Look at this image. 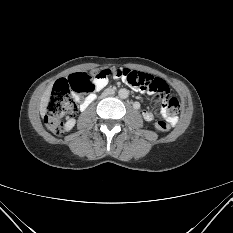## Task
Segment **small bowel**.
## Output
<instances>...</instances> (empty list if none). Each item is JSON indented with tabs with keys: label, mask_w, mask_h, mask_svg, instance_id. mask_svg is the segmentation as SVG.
<instances>
[{
	"label": "small bowel",
	"mask_w": 233,
	"mask_h": 233,
	"mask_svg": "<svg viewBox=\"0 0 233 233\" xmlns=\"http://www.w3.org/2000/svg\"><path fill=\"white\" fill-rule=\"evenodd\" d=\"M162 81V80H161ZM108 83V77H103V76H97L94 79V90L98 91L102 88H104ZM93 100V95H90L88 97H86L85 99L82 100L81 102V109H85ZM157 115L162 118V119H167V121L171 124V125H175L177 122V119L175 117H169L166 109L162 108ZM143 117L145 120L147 121H152L155 118V114H153L150 111H143Z\"/></svg>",
	"instance_id": "obj_1"
}]
</instances>
